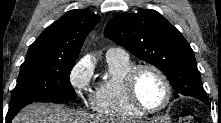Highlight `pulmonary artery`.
Masks as SVG:
<instances>
[{"label":"pulmonary artery","mask_w":221,"mask_h":123,"mask_svg":"<svg viewBox=\"0 0 221 123\" xmlns=\"http://www.w3.org/2000/svg\"><path fill=\"white\" fill-rule=\"evenodd\" d=\"M106 58L107 59H114V58L126 59L128 58V54L126 53V51H124L121 48L111 47L106 52Z\"/></svg>","instance_id":"pulmonary-artery-1"}]
</instances>
